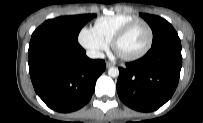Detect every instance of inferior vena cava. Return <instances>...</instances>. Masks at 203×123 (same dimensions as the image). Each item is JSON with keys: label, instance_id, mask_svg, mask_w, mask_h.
Instances as JSON below:
<instances>
[{"label": "inferior vena cava", "instance_id": "1", "mask_svg": "<svg viewBox=\"0 0 203 123\" xmlns=\"http://www.w3.org/2000/svg\"><path fill=\"white\" fill-rule=\"evenodd\" d=\"M86 55L89 57V58H92V59H97V58H105V54L103 52H100V51H97V50H88L86 52Z\"/></svg>", "mask_w": 203, "mask_h": 123}]
</instances>
